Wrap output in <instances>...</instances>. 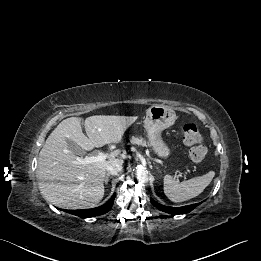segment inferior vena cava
I'll use <instances>...</instances> for the list:
<instances>
[{"label": "inferior vena cava", "instance_id": "obj_1", "mask_svg": "<svg viewBox=\"0 0 261 261\" xmlns=\"http://www.w3.org/2000/svg\"><path fill=\"white\" fill-rule=\"evenodd\" d=\"M122 165H123V161L120 159L113 161L106 168L107 174L113 175V174H117V173L121 172Z\"/></svg>", "mask_w": 261, "mask_h": 261}]
</instances>
